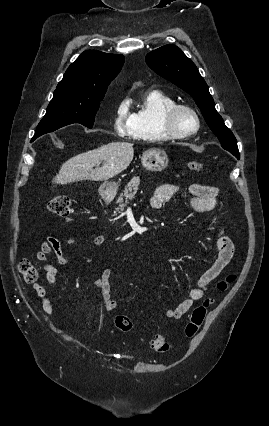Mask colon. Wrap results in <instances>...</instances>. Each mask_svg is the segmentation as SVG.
Masks as SVG:
<instances>
[{"instance_id": "colon-1", "label": "colon", "mask_w": 269, "mask_h": 426, "mask_svg": "<svg viewBox=\"0 0 269 426\" xmlns=\"http://www.w3.org/2000/svg\"><path fill=\"white\" fill-rule=\"evenodd\" d=\"M187 166L189 170L193 172L199 173L203 171V164L199 161H189ZM48 208L55 216L65 221H70L72 219L73 210L71 207V200L66 195H56L52 197L49 201ZM19 272L27 283H37L40 277L38 268L28 259H24L20 262ZM235 279L236 276L234 274H229L226 278L218 282V290H225ZM211 302L212 299L207 298L193 310L190 321L185 328V333L188 337H193L197 333L205 319L207 309ZM115 325L117 329L122 332H129L133 328L132 320L124 315H117L115 317ZM150 344L151 347L158 352H165L169 348L167 340L161 335H156L151 340Z\"/></svg>"}]
</instances>
